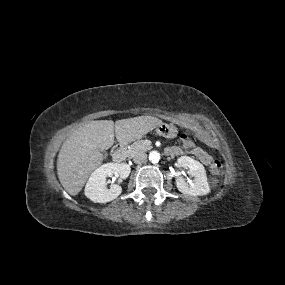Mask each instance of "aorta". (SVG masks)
Listing matches in <instances>:
<instances>
[{"mask_svg":"<svg viewBox=\"0 0 285 285\" xmlns=\"http://www.w3.org/2000/svg\"><path fill=\"white\" fill-rule=\"evenodd\" d=\"M149 160L152 163H158L160 160V153L158 151H151L149 154Z\"/></svg>","mask_w":285,"mask_h":285,"instance_id":"obj_1","label":"aorta"}]
</instances>
